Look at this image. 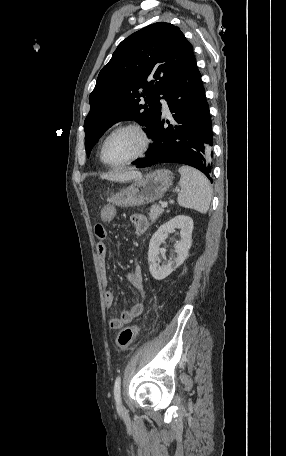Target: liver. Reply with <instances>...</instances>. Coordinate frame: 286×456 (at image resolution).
<instances>
[{
    "mask_svg": "<svg viewBox=\"0 0 286 456\" xmlns=\"http://www.w3.org/2000/svg\"><path fill=\"white\" fill-rule=\"evenodd\" d=\"M102 179H107L115 182H127L131 180H139L142 178V174L135 170H117L110 173H105L100 176Z\"/></svg>",
    "mask_w": 286,
    "mask_h": 456,
    "instance_id": "obj_1",
    "label": "liver"
}]
</instances>
